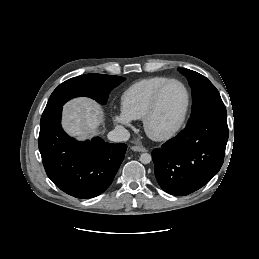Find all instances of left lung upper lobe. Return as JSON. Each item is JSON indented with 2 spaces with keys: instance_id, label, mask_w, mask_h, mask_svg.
Returning <instances> with one entry per match:
<instances>
[{
  "instance_id": "left-lung-upper-lobe-1",
  "label": "left lung upper lobe",
  "mask_w": 259,
  "mask_h": 259,
  "mask_svg": "<svg viewBox=\"0 0 259 259\" xmlns=\"http://www.w3.org/2000/svg\"><path fill=\"white\" fill-rule=\"evenodd\" d=\"M179 71L186 76L192 89V114L188 123L209 115H227L218 90L205 76L185 68Z\"/></svg>"
}]
</instances>
